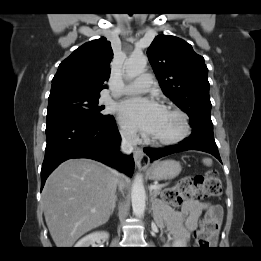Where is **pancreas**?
<instances>
[{
	"label": "pancreas",
	"mask_w": 261,
	"mask_h": 261,
	"mask_svg": "<svg viewBox=\"0 0 261 261\" xmlns=\"http://www.w3.org/2000/svg\"><path fill=\"white\" fill-rule=\"evenodd\" d=\"M161 192V188L158 189H154L153 191H151V195L156 197L157 195H159Z\"/></svg>",
	"instance_id": "pancreas-1"
}]
</instances>
